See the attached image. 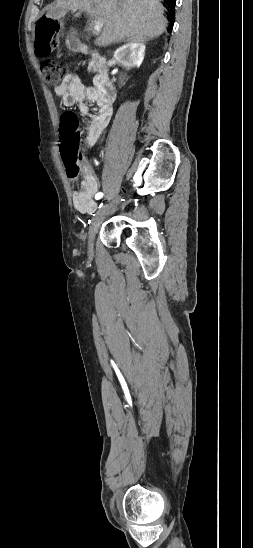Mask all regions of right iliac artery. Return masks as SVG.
<instances>
[{
    "label": "right iliac artery",
    "instance_id": "right-iliac-artery-1",
    "mask_svg": "<svg viewBox=\"0 0 253 548\" xmlns=\"http://www.w3.org/2000/svg\"><path fill=\"white\" fill-rule=\"evenodd\" d=\"M102 196H103V193L99 192L96 194L95 199L99 200L100 198H102Z\"/></svg>",
    "mask_w": 253,
    "mask_h": 548
}]
</instances>
